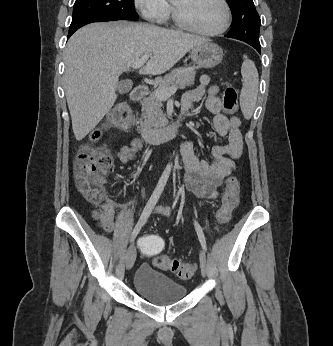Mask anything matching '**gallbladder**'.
Segmentation results:
<instances>
[{
    "label": "gallbladder",
    "mask_w": 333,
    "mask_h": 346,
    "mask_svg": "<svg viewBox=\"0 0 333 346\" xmlns=\"http://www.w3.org/2000/svg\"><path fill=\"white\" fill-rule=\"evenodd\" d=\"M132 85H133L132 81L124 80L118 83L117 90L121 94H126L131 90Z\"/></svg>",
    "instance_id": "gallbladder-1"
}]
</instances>
